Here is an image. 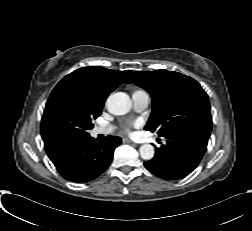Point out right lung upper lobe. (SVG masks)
Here are the masks:
<instances>
[{"label":"right lung upper lobe","mask_w":252,"mask_h":231,"mask_svg":"<svg viewBox=\"0 0 252 231\" xmlns=\"http://www.w3.org/2000/svg\"><path fill=\"white\" fill-rule=\"evenodd\" d=\"M130 73V70L115 71L103 67H83L65 76L52 92L68 91L87 104L103 107L108 95L122 84ZM44 146L50 159L61 148L45 143Z\"/></svg>","instance_id":"right-lung-upper-lobe-1"}]
</instances>
